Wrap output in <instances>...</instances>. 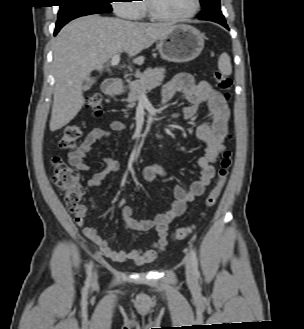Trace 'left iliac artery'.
<instances>
[{
  "label": "left iliac artery",
  "mask_w": 304,
  "mask_h": 329,
  "mask_svg": "<svg viewBox=\"0 0 304 329\" xmlns=\"http://www.w3.org/2000/svg\"><path fill=\"white\" fill-rule=\"evenodd\" d=\"M190 258H191V261H192L194 274H195L196 277H198L199 274H200L199 269H198V258H197L195 250H193V249L190 250Z\"/></svg>",
  "instance_id": "1"
}]
</instances>
